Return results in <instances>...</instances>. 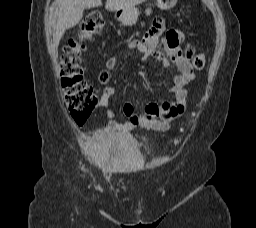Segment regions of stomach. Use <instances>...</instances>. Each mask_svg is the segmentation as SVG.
<instances>
[{
    "mask_svg": "<svg viewBox=\"0 0 256 228\" xmlns=\"http://www.w3.org/2000/svg\"><path fill=\"white\" fill-rule=\"evenodd\" d=\"M178 0H157V6L162 10L173 8ZM151 9H147L146 13L150 14ZM139 16V11L135 6L116 10L115 17L125 26L134 25Z\"/></svg>",
    "mask_w": 256,
    "mask_h": 228,
    "instance_id": "stomach-1",
    "label": "stomach"
}]
</instances>
